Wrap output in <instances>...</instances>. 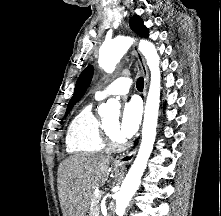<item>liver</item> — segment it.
Returning a JSON list of instances; mask_svg holds the SVG:
<instances>
[{
    "mask_svg": "<svg viewBox=\"0 0 221 216\" xmlns=\"http://www.w3.org/2000/svg\"><path fill=\"white\" fill-rule=\"evenodd\" d=\"M111 158L106 155L75 154L59 165L58 195L63 216H86L93 191L109 175Z\"/></svg>",
    "mask_w": 221,
    "mask_h": 216,
    "instance_id": "6515ba94",
    "label": "liver"
}]
</instances>
